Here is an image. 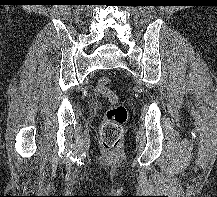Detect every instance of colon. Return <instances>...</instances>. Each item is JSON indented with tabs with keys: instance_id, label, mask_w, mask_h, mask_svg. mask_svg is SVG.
<instances>
[{
	"instance_id": "5ec220e1",
	"label": "colon",
	"mask_w": 217,
	"mask_h": 197,
	"mask_svg": "<svg viewBox=\"0 0 217 197\" xmlns=\"http://www.w3.org/2000/svg\"><path fill=\"white\" fill-rule=\"evenodd\" d=\"M111 79L103 76L98 79L97 91L111 104L106 111L100 129L101 142L106 151H116L121 142L123 125L127 121L128 112L124 105L119 103V97L110 88Z\"/></svg>"
}]
</instances>
